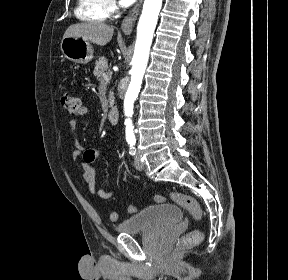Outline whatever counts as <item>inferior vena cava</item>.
<instances>
[{
  "label": "inferior vena cava",
  "mask_w": 288,
  "mask_h": 280,
  "mask_svg": "<svg viewBox=\"0 0 288 280\" xmlns=\"http://www.w3.org/2000/svg\"><path fill=\"white\" fill-rule=\"evenodd\" d=\"M129 85V78H122V81H120V85L118 86V93L121 94L122 97L126 96L127 93V86ZM120 104L124 103L123 99L119 100Z\"/></svg>",
  "instance_id": "602c4592"
}]
</instances>
